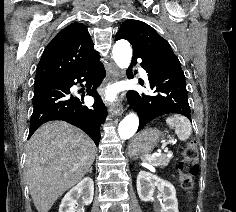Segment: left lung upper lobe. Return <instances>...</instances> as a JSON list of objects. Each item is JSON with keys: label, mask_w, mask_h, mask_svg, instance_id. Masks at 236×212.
Listing matches in <instances>:
<instances>
[{"label": "left lung upper lobe", "mask_w": 236, "mask_h": 212, "mask_svg": "<svg viewBox=\"0 0 236 212\" xmlns=\"http://www.w3.org/2000/svg\"><path fill=\"white\" fill-rule=\"evenodd\" d=\"M115 39L128 40L133 46V55L143 58H177L170 44L151 26L139 20L124 21Z\"/></svg>", "instance_id": "obj_1"}]
</instances>
